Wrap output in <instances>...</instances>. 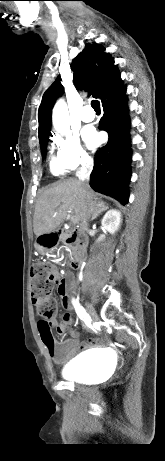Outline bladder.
Instances as JSON below:
<instances>
[{"label":"bladder","instance_id":"obj_1","mask_svg":"<svg viewBox=\"0 0 165 461\" xmlns=\"http://www.w3.org/2000/svg\"><path fill=\"white\" fill-rule=\"evenodd\" d=\"M107 361V354L103 352L80 354L63 368L62 377L76 383L94 381L106 369Z\"/></svg>","mask_w":165,"mask_h":461}]
</instances>
